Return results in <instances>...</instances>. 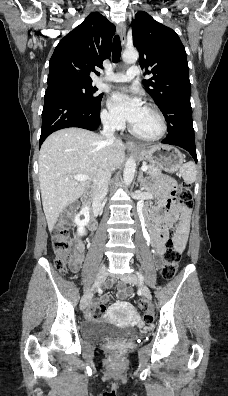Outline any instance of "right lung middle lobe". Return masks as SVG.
<instances>
[{
	"label": "right lung middle lobe",
	"instance_id": "dd1d6c3e",
	"mask_svg": "<svg viewBox=\"0 0 228 396\" xmlns=\"http://www.w3.org/2000/svg\"><path fill=\"white\" fill-rule=\"evenodd\" d=\"M97 88L92 87V83L63 82L48 86L45 95L62 93L75 98L87 106L99 105L103 94L97 93Z\"/></svg>",
	"mask_w": 228,
	"mask_h": 396
}]
</instances>
